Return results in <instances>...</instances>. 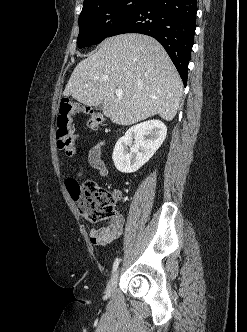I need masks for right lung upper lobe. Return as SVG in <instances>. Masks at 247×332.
Wrapping results in <instances>:
<instances>
[{
  "label": "right lung upper lobe",
  "instance_id": "1",
  "mask_svg": "<svg viewBox=\"0 0 247 332\" xmlns=\"http://www.w3.org/2000/svg\"><path fill=\"white\" fill-rule=\"evenodd\" d=\"M98 1H101V0H84L83 9L95 4Z\"/></svg>",
  "mask_w": 247,
  "mask_h": 332
}]
</instances>
